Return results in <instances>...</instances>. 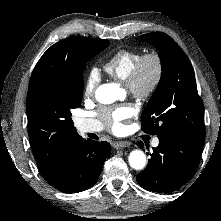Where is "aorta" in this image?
Returning a JSON list of instances; mask_svg holds the SVG:
<instances>
[{
    "mask_svg": "<svg viewBox=\"0 0 221 221\" xmlns=\"http://www.w3.org/2000/svg\"><path fill=\"white\" fill-rule=\"evenodd\" d=\"M121 94V89L115 83L103 84L96 90V99L102 104L115 102ZM129 165L135 170H141L146 165V156L141 150H133L128 157Z\"/></svg>",
    "mask_w": 221,
    "mask_h": 221,
    "instance_id": "obj_1",
    "label": "aorta"
}]
</instances>
